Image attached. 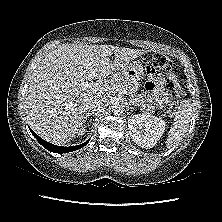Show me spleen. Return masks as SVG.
I'll return each instance as SVG.
<instances>
[{"instance_id": "spleen-1", "label": "spleen", "mask_w": 222, "mask_h": 222, "mask_svg": "<svg viewBox=\"0 0 222 222\" xmlns=\"http://www.w3.org/2000/svg\"><path fill=\"white\" fill-rule=\"evenodd\" d=\"M192 111L193 106L189 99L181 102L179 110L177 111L172 126L168 132L166 141V147L168 149L178 145L182 141L183 137L189 129L192 118Z\"/></svg>"}]
</instances>
